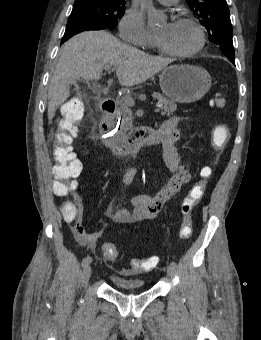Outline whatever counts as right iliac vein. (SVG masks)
<instances>
[{
  "label": "right iliac vein",
  "instance_id": "63e3f726",
  "mask_svg": "<svg viewBox=\"0 0 261 340\" xmlns=\"http://www.w3.org/2000/svg\"><path fill=\"white\" fill-rule=\"evenodd\" d=\"M91 272H92V268L90 265H87L84 267V273H83L84 282H87V280L89 279L91 275Z\"/></svg>",
  "mask_w": 261,
  "mask_h": 340
}]
</instances>
